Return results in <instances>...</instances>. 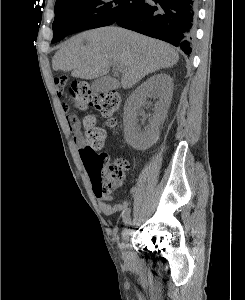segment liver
Listing matches in <instances>:
<instances>
[{
	"label": "liver",
	"instance_id": "6515ba94",
	"mask_svg": "<svg viewBox=\"0 0 245 300\" xmlns=\"http://www.w3.org/2000/svg\"><path fill=\"white\" fill-rule=\"evenodd\" d=\"M178 60V52L167 43L109 26L70 38L55 53L52 67L91 80L108 74L114 65L122 73L121 87L129 89L149 73L171 67Z\"/></svg>",
	"mask_w": 245,
	"mask_h": 300
}]
</instances>
